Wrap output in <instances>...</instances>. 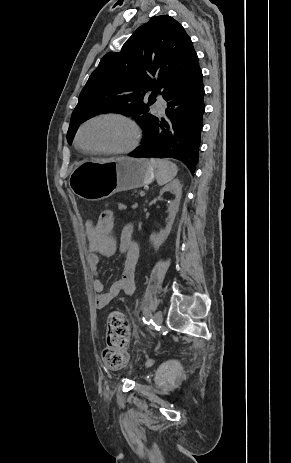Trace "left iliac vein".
I'll return each instance as SVG.
<instances>
[{
  "instance_id": "left-iliac-vein-1",
  "label": "left iliac vein",
  "mask_w": 291,
  "mask_h": 463,
  "mask_svg": "<svg viewBox=\"0 0 291 463\" xmlns=\"http://www.w3.org/2000/svg\"><path fill=\"white\" fill-rule=\"evenodd\" d=\"M162 319H163L162 313L160 311L155 312L153 316V321L155 325L159 326L162 323Z\"/></svg>"
}]
</instances>
